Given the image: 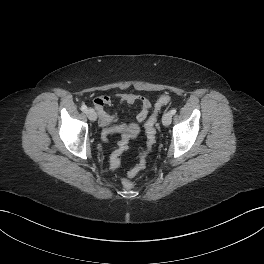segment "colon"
I'll list each match as a JSON object with an SVG mask.
<instances>
[{"label": "colon", "instance_id": "5ec220e1", "mask_svg": "<svg viewBox=\"0 0 264 264\" xmlns=\"http://www.w3.org/2000/svg\"><path fill=\"white\" fill-rule=\"evenodd\" d=\"M169 101H170V96L167 94H164L157 99L155 103L154 113L147 119L145 124L146 136H147V148L144 152L140 154L138 163L129 171L127 177L123 179L122 184L125 189H132L133 187L132 178L135 177L141 170L145 168L146 157L156 141L157 113L162 107L167 105ZM108 136L109 135H105L104 138H107ZM128 143H129L128 140L126 139L123 140L124 147L128 148Z\"/></svg>", "mask_w": 264, "mask_h": 264}]
</instances>
